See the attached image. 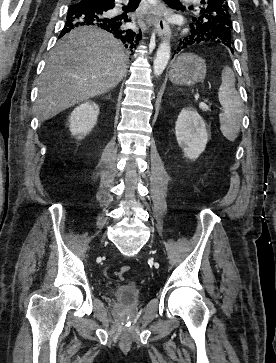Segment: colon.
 Masks as SVG:
<instances>
[{
	"label": "colon",
	"mask_w": 276,
	"mask_h": 363,
	"mask_svg": "<svg viewBox=\"0 0 276 363\" xmlns=\"http://www.w3.org/2000/svg\"><path fill=\"white\" fill-rule=\"evenodd\" d=\"M129 270H130L129 266H124L120 270H118L117 274L121 276L127 273Z\"/></svg>",
	"instance_id": "1"
}]
</instances>
